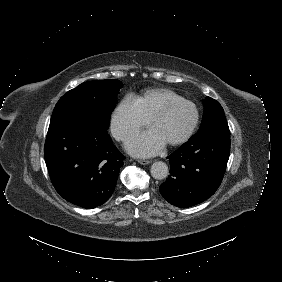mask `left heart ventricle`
<instances>
[{
    "label": "left heart ventricle",
    "instance_id": "b2bd125f",
    "mask_svg": "<svg viewBox=\"0 0 282 282\" xmlns=\"http://www.w3.org/2000/svg\"><path fill=\"white\" fill-rule=\"evenodd\" d=\"M171 100H164L158 108L162 110L167 107ZM192 120V113L187 107H179L171 110L163 117L155 121L153 127L156 128L165 142L179 138L187 130Z\"/></svg>",
    "mask_w": 282,
    "mask_h": 282
}]
</instances>
